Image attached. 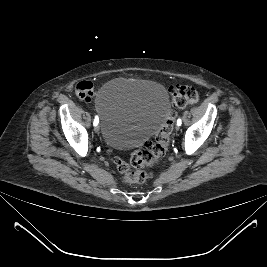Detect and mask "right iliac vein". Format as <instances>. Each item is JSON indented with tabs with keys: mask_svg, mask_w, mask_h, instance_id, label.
<instances>
[{
	"mask_svg": "<svg viewBox=\"0 0 267 267\" xmlns=\"http://www.w3.org/2000/svg\"><path fill=\"white\" fill-rule=\"evenodd\" d=\"M94 130H95L96 133H99V130H100L99 126L96 125Z\"/></svg>",
	"mask_w": 267,
	"mask_h": 267,
	"instance_id": "63e3f726",
	"label": "right iliac vein"
}]
</instances>
